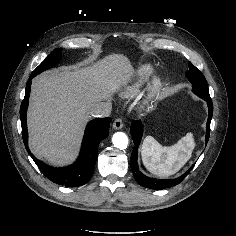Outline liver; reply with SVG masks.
<instances>
[{
	"instance_id": "6515ba94",
	"label": "liver",
	"mask_w": 236,
	"mask_h": 236,
	"mask_svg": "<svg viewBox=\"0 0 236 236\" xmlns=\"http://www.w3.org/2000/svg\"><path fill=\"white\" fill-rule=\"evenodd\" d=\"M133 69L119 54L80 68L51 70L33 80L27 115L32 153L53 165L77 154L90 108L126 86Z\"/></svg>"
}]
</instances>
